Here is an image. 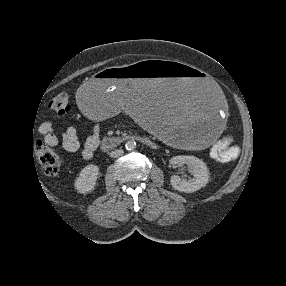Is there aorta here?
Returning <instances> with one entry per match:
<instances>
[{
	"instance_id": "obj_1",
	"label": "aorta",
	"mask_w": 286,
	"mask_h": 286,
	"mask_svg": "<svg viewBox=\"0 0 286 286\" xmlns=\"http://www.w3.org/2000/svg\"><path fill=\"white\" fill-rule=\"evenodd\" d=\"M125 148L127 150H134L136 148V142L134 140H128L125 143Z\"/></svg>"
}]
</instances>
